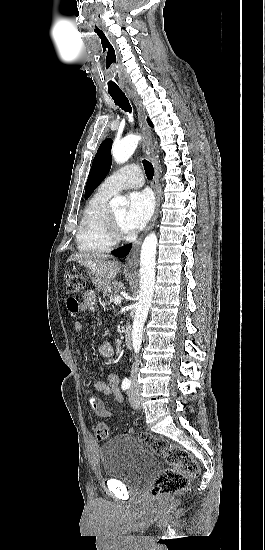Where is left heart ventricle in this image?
<instances>
[{"label":"left heart ventricle","mask_w":265,"mask_h":550,"mask_svg":"<svg viewBox=\"0 0 265 550\" xmlns=\"http://www.w3.org/2000/svg\"><path fill=\"white\" fill-rule=\"evenodd\" d=\"M114 216L116 217L117 221L119 222L120 226L122 227V229L125 230L124 228V217H125V214H126V210L125 209H118V210H113L112 211Z\"/></svg>","instance_id":"b2bd125f"}]
</instances>
